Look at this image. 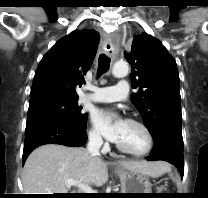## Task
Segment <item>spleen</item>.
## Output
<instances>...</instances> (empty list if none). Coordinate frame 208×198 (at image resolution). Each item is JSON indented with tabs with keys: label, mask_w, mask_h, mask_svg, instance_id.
Wrapping results in <instances>:
<instances>
[{
	"label": "spleen",
	"mask_w": 208,
	"mask_h": 198,
	"mask_svg": "<svg viewBox=\"0 0 208 198\" xmlns=\"http://www.w3.org/2000/svg\"><path fill=\"white\" fill-rule=\"evenodd\" d=\"M166 171H170V168L167 166ZM173 180H176L175 178Z\"/></svg>",
	"instance_id": "1"
}]
</instances>
